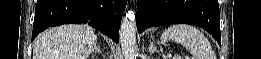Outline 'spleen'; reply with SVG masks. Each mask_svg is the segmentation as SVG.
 Here are the masks:
<instances>
[{
  "label": "spleen",
  "instance_id": "obj_1",
  "mask_svg": "<svg viewBox=\"0 0 261 59\" xmlns=\"http://www.w3.org/2000/svg\"><path fill=\"white\" fill-rule=\"evenodd\" d=\"M161 40L174 41L185 46L192 59H216L208 39L194 26L188 24L170 26L163 32Z\"/></svg>",
  "mask_w": 261,
  "mask_h": 59
}]
</instances>
